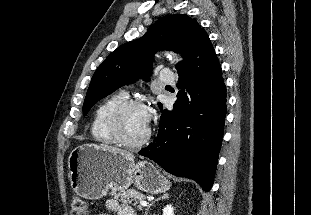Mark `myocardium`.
Masks as SVG:
<instances>
[{"label": "myocardium", "mask_w": 311, "mask_h": 215, "mask_svg": "<svg viewBox=\"0 0 311 215\" xmlns=\"http://www.w3.org/2000/svg\"><path fill=\"white\" fill-rule=\"evenodd\" d=\"M134 107H141L148 110L146 104L140 99H126L119 103L111 112L109 117V128L116 142L127 148H139L146 144L151 136L148 128L145 136L138 141H130L124 135L123 120L126 112Z\"/></svg>", "instance_id": "f54148a6"}]
</instances>
